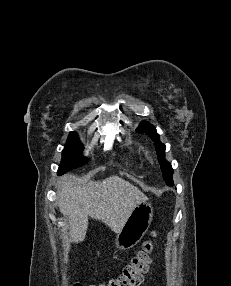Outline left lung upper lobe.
Instances as JSON below:
<instances>
[{
	"mask_svg": "<svg viewBox=\"0 0 231 286\" xmlns=\"http://www.w3.org/2000/svg\"><path fill=\"white\" fill-rule=\"evenodd\" d=\"M138 132H146L151 139L154 141V145L156 148V152L158 155V160L161 166V170L163 173V178L168 185L173 184L172 176L173 169L171 165L165 160V145L162 144L159 140V135L156 132V129L148 122H142L137 129Z\"/></svg>",
	"mask_w": 231,
	"mask_h": 286,
	"instance_id": "1",
	"label": "left lung upper lobe"
}]
</instances>
